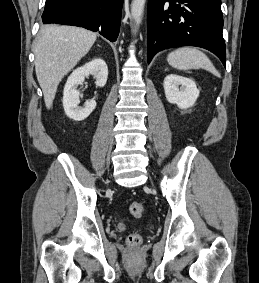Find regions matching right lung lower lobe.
Here are the masks:
<instances>
[{
  "mask_svg": "<svg viewBox=\"0 0 259 283\" xmlns=\"http://www.w3.org/2000/svg\"><path fill=\"white\" fill-rule=\"evenodd\" d=\"M123 0H46L43 23H58L98 31L116 41Z\"/></svg>",
  "mask_w": 259,
  "mask_h": 283,
  "instance_id": "obj_1",
  "label": "right lung lower lobe"
}]
</instances>
